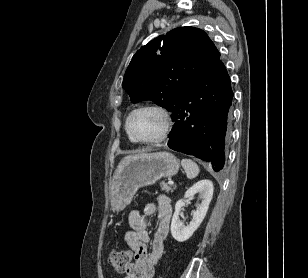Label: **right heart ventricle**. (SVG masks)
<instances>
[{
	"label": "right heart ventricle",
	"mask_w": 308,
	"mask_h": 278,
	"mask_svg": "<svg viewBox=\"0 0 308 278\" xmlns=\"http://www.w3.org/2000/svg\"><path fill=\"white\" fill-rule=\"evenodd\" d=\"M127 134H128V133H127ZM128 137H129V139H130L131 141H133L132 138H131L129 135H128Z\"/></svg>",
	"instance_id": "obj_1"
}]
</instances>
